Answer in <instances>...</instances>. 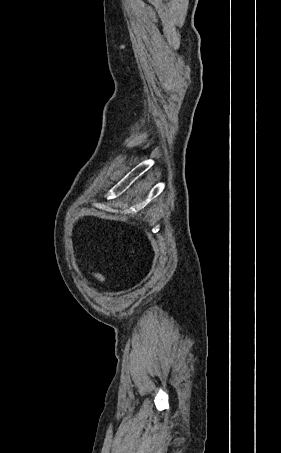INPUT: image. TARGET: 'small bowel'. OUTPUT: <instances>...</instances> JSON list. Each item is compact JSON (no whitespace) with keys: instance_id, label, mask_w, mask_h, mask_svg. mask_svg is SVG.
<instances>
[{"instance_id":"1","label":"small bowel","mask_w":281,"mask_h":453,"mask_svg":"<svg viewBox=\"0 0 281 453\" xmlns=\"http://www.w3.org/2000/svg\"><path fill=\"white\" fill-rule=\"evenodd\" d=\"M95 275H96L97 277H100V278L103 277V276H102L101 274H99V273H96Z\"/></svg>"}]
</instances>
